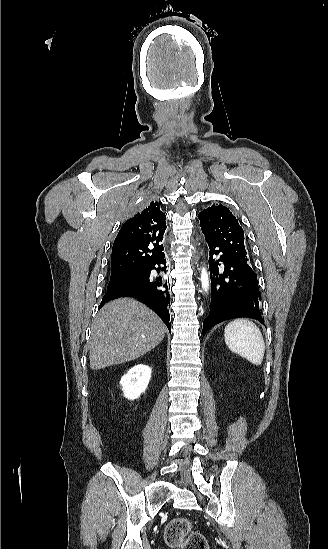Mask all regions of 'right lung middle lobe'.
<instances>
[{
	"mask_svg": "<svg viewBox=\"0 0 328 549\" xmlns=\"http://www.w3.org/2000/svg\"><path fill=\"white\" fill-rule=\"evenodd\" d=\"M145 272L146 271H132L117 275H111L107 289H111L115 286H119L130 281L142 279L145 275Z\"/></svg>",
	"mask_w": 328,
	"mask_h": 549,
	"instance_id": "1",
	"label": "right lung middle lobe"
}]
</instances>
